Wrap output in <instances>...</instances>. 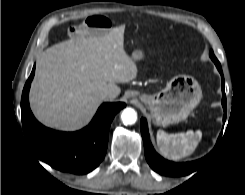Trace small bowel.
I'll list each match as a JSON object with an SVG mask.
<instances>
[{
	"label": "small bowel",
	"mask_w": 245,
	"mask_h": 195,
	"mask_svg": "<svg viewBox=\"0 0 245 195\" xmlns=\"http://www.w3.org/2000/svg\"><path fill=\"white\" fill-rule=\"evenodd\" d=\"M111 26L110 20L102 15L88 16L83 22L73 25L68 29L70 36H82L87 33H101Z\"/></svg>",
	"instance_id": "1"
}]
</instances>
